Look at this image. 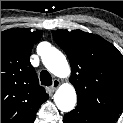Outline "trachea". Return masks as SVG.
Segmentation results:
<instances>
[{
	"label": "trachea",
	"instance_id": "1",
	"mask_svg": "<svg viewBox=\"0 0 123 123\" xmlns=\"http://www.w3.org/2000/svg\"><path fill=\"white\" fill-rule=\"evenodd\" d=\"M40 80L42 85H51L52 84V78L51 75L47 70H43L40 73Z\"/></svg>",
	"mask_w": 123,
	"mask_h": 123
}]
</instances>
